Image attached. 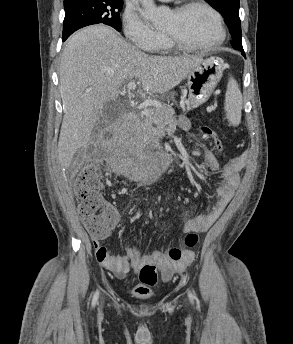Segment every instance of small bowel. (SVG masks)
<instances>
[{
	"mask_svg": "<svg viewBox=\"0 0 293 344\" xmlns=\"http://www.w3.org/2000/svg\"><path fill=\"white\" fill-rule=\"evenodd\" d=\"M181 128L188 130L190 123L187 119L180 120ZM200 154L199 151L196 152ZM203 158L206 166L212 172H220L222 186L216 191V204L208 213L198 215L187 220L183 230L185 232H206L217 218L225 210L236 190L240 185V171L245 165V155L240 154L233 158L226 166L220 167L214 154L205 150ZM118 220V219H117ZM103 238H93V247L97 261L106 269L110 270L117 278H124L130 271L138 272L146 265H157L160 267L164 278H170L174 273L182 272L191 265L195 258L192 250H185L183 256L178 261H173L166 257L162 252L155 250L150 254H142L140 246L127 247L122 255H110L107 248L102 245ZM148 289L139 286L134 289L135 296H144Z\"/></svg>",
	"mask_w": 293,
	"mask_h": 344,
	"instance_id": "obj_1",
	"label": "small bowel"
}]
</instances>
